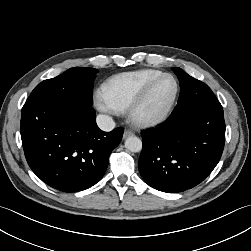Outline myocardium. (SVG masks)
Instances as JSON below:
<instances>
[{
    "label": "myocardium",
    "instance_id": "obj_1",
    "mask_svg": "<svg viewBox=\"0 0 251 251\" xmlns=\"http://www.w3.org/2000/svg\"><path fill=\"white\" fill-rule=\"evenodd\" d=\"M164 78H171L175 83V90L173 93L172 98L170 99L169 103L166 107L158 114L153 116H142L140 114V110L144 103L146 102L147 98L149 97L152 89L155 85L160 82ZM180 91V86L177 78L169 73H163L156 78L152 79L150 82L146 84V86L141 90L138 96L133 100L128 108V116L132 124L140 128H152L162 124L164 121L167 120L169 115L171 114L175 103L177 101L178 95Z\"/></svg>",
    "mask_w": 251,
    "mask_h": 251
}]
</instances>
